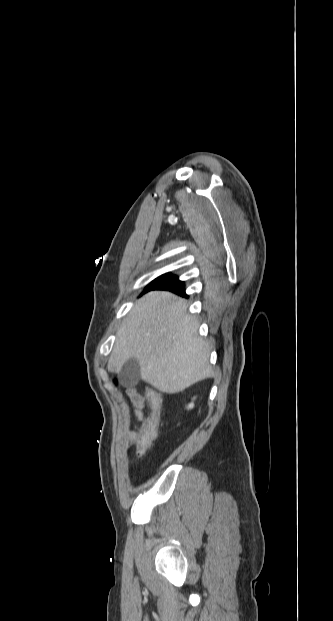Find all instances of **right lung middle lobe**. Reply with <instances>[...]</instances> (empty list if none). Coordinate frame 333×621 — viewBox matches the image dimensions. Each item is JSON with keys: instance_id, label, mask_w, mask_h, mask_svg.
Returning a JSON list of instances; mask_svg holds the SVG:
<instances>
[{"instance_id": "right-lung-middle-lobe-1", "label": "right lung middle lobe", "mask_w": 333, "mask_h": 621, "mask_svg": "<svg viewBox=\"0 0 333 621\" xmlns=\"http://www.w3.org/2000/svg\"><path fill=\"white\" fill-rule=\"evenodd\" d=\"M169 275H170L169 273L164 274V275H162V276L158 277L157 279H155L154 281H152V282H151V283H150V284L146 287L145 292L149 291V290H150V289H151V288H152V287H153L156 283H158L161 279H163V278H165V277H167V276H169Z\"/></svg>"}]
</instances>
